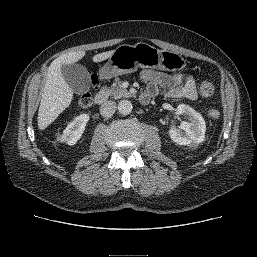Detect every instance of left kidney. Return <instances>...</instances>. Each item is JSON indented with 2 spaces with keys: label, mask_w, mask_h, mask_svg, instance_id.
<instances>
[{
  "label": "left kidney",
  "mask_w": 257,
  "mask_h": 257,
  "mask_svg": "<svg viewBox=\"0 0 257 257\" xmlns=\"http://www.w3.org/2000/svg\"><path fill=\"white\" fill-rule=\"evenodd\" d=\"M177 113L184 115L188 122L183 121L179 129H170L168 131L170 138L179 145L198 146L205 139L206 125L203 117L192 107L185 104L178 105Z\"/></svg>",
  "instance_id": "obj_1"
}]
</instances>
